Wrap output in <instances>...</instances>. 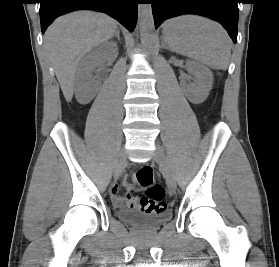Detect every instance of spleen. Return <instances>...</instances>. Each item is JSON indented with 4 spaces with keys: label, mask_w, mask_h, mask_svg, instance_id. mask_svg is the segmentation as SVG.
<instances>
[{
    "label": "spleen",
    "mask_w": 279,
    "mask_h": 267,
    "mask_svg": "<svg viewBox=\"0 0 279 267\" xmlns=\"http://www.w3.org/2000/svg\"><path fill=\"white\" fill-rule=\"evenodd\" d=\"M163 33L172 51L215 69L228 68L231 40L217 22L197 15H183L169 20Z\"/></svg>",
    "instance_id": "spleen-1"
}]
</instances>
